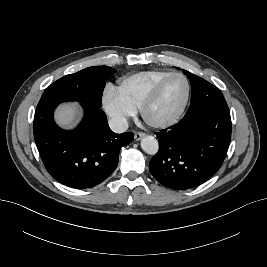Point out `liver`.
I'll return each instance as SVG.
<instances>
[{
  "label": "liver",
  "instance_id": "obj_1",
  "mask_svg": "<svg viewBox=\"0 0 267 267\" xmlns=\"http://www.w3.org/2000/svg\"><path fill=\"white\" fill-rule=\"evenodd\" d=\"M78 115L79 110L75 104H63L57 108L55 120L60 126L70 128L77 122Z\"/></svg>",
  "mask_w": 267,
  "mask_h": 267
}]
</instances>
